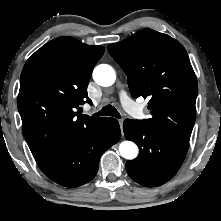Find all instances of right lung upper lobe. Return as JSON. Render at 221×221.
Here are the masks:
<instances>
[{
    "label": "right lung upper lobe",
    "mask_w": 221,
    "mask_h": 221,
    "mask_svg": "<svg viewBox=\"0 0 221 221\" xmlns=\"http://www.w3.org/2000/svg\"><path fill=\"white\" fill-rule=\"evenodd\" d=\"M105 48L58 37L26 62L17 98L22 130L38 165L43 164L101 118L76 113L91 102L87 86Z\"/></svg>",
    "instance_id": "obj_1"
}]
</instances>
